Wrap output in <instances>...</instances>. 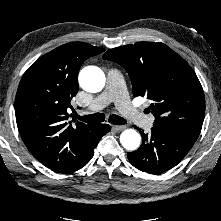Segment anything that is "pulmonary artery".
<instances>
[{"instance_id":"pulmonary-artery-1","label":"pulmonary artery","mask_w":221,"mask_h":221,"mask_svg":"<svg viewBox=\"0 0 221 221\" xmlns=\"http://www.w3.org/2000/svg\"><path fill=\"white\" fill-rule=\"evenodd\" d=\"M114 102L118 110L131 122L144 128H150L153 125L154 117L143 114L134 107L129 101L125 83L122 75L115 69L107 73V82L104 91L92 101L88 111L96 112L103 109L108 104Z\"/></svg>"}]
</instances>
